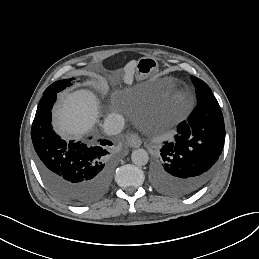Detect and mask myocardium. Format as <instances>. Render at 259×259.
Returning <instances> with one entry per match:
<instances>
[{
    "label": "myocardium",
    "instance_id": "myocardium-1",
    "mask_svg": "<svg viewBox=\"0 0 259 259\" xmlns=\"http://www.w3.org/2000/svg\"><path fill=\"white\" fill-rule=\"evenodd\" d=\"M174 80V76H169V77H166V78H159V77H156V78H151V79H146V82H145V85L146 87H150V86H153V85H156V84H162V83H166V82H170ZM194 106V102L192 103L191 107ZM186 114L183 113L181 118Z\"/></svg>",
    "mask_w": 259,
    "mask_h": 259
}]
</instances>
